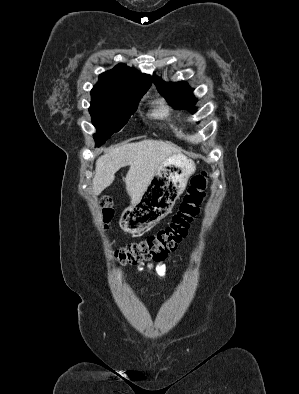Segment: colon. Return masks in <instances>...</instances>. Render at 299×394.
Segmentation results:
<instances>
[{"instance_id":"obj_1","label":"colon","mask_w":299,"mask_h":394,"mask_svg":"<svg viewBox=\"0 0 299 394\" xmlns=\"http://www.w3.org/2000/svg\"><path fill=\"white\" fill-rule=\"evenodd\" d=\"M207 173L205 171L192 177L178 211L171 222L160 231L138 242L130 243L113 250L114 258L120 264H136L145 260H161L171 252L185 237L192 219L198 214L199 206L205 196ZM102 209L103 227L113 215V202L109 196H102L99 200Z\"/></svg>"}]
</instances>
